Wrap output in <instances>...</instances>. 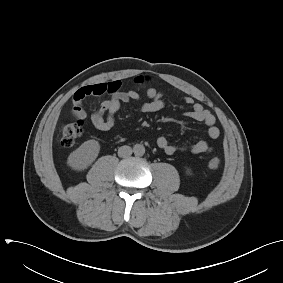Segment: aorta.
<instances>
[{
  "label": "aorta",
  "mask_w": 283,
  "mask_h": 283,
  "mask_svg": "<svg viewBox=\"0 0 283 283\" xmlns=\"http://www.w3.org/2000/svg\"><path fill=\"white\" fill-rule=\"evenodd\" d=\"M133 152L136 156H143L145 153V147L141 144H136L133 147Z\"/></svg>",
  "instance_id": "obj_1"
}]
</instances>
